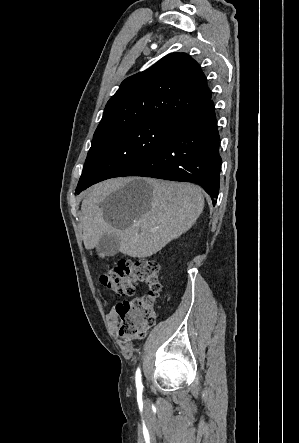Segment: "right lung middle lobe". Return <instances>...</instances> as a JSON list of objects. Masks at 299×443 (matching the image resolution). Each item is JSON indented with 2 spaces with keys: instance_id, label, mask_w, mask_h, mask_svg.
<instances>
[{
  "instance_id": "1",
  "label": "right lung middle lobe",
  "mask_w": 299,
  "mask_h": 443,
  "mask_svg": "<svg viewBox=\"0 0 299 443\" xmlns=\"http://www.w3.org/2000/svg\"><path fill=\"white\" fill-rule=\"evenodd\" d=\"M178 123L173 118H144L94 136L76 193L146 160L172 136Z\"/></svg>"
}]
</instances>
